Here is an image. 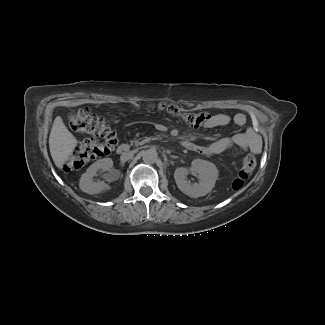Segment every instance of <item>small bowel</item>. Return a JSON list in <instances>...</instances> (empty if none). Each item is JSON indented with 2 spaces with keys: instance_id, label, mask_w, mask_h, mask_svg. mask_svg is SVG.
I'll list each match as a JSON object with an SVG mask.
<instances>
[{
  "instance_id": "obj_1",
  "label": "small bowel",
  "mask_w": 325,
  "mask_h": 325,
  "mask_svg": "<svg viewBox=\"0 0 325 325\" xmlns=\"http://www.w3.org/2000/svg\"><path fill=\"white\" fill-rule=\"evenodd\" d=\"M207 116L208 120L203 125L205 130L226 126L231 123L238 127H242L246 122V117L242 113H237L235 115L218 113L212 115L207 114ZM232 148H237L244 151L252 150L253 144L249 135L247 133H237L232 137L220 138L209 145L196 146L192 144L188 146V149L198 151L205 155H217Z\"/></svg>"
}]
</instances>
